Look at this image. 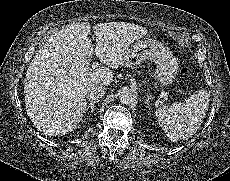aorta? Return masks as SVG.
<instances>
[{
    "label": "aorta",
    "instance_id": "1",
    "mask_svg": "<svg viewBox=\"0 0 230 181\" xmlns=\"http://www.w3.org/2000/svg\"><path fill=\"white\" fill-rule=\"evenodd\" d=\"M119 100L125 105H135L138 102V95L130 88L124 87L119 91Z\"/></svg>",
    "mask_w": 230,
    "mask_h": 181
}]
</instances>
